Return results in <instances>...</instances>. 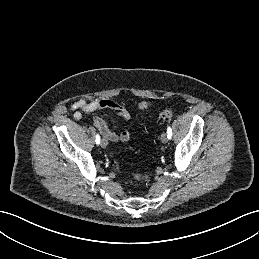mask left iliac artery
Returning a JSON list of instances; mask_svg holds the SVG:
<instances>
[{"instance_id": "left-iliac-artery-1", "label": "left iliac artery", "mask_w": 259, "mask_h": 259, "mask_svg": "<svg viewBox=\"0 0 259 259\" xmlns=\"http://www.w3.org/2000/svg\"><path fill=\"white\" fill-rule=\"evenodd\" d=\"M167 136H168V139L172 138V129L170 126L167 127Z\"/></svg>"}]
</instances>
